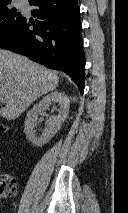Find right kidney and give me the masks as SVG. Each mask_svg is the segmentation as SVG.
Listing matches in <instances>:
<instances>
[{"instance_id":"obj_1","label":"right kidney","mask_w":128,"mask_h":213,"mask_svg":"<svg viewBox=\"0 0 128 213\" xmlns=\"http://www.w3.org/2000/svg\"><path fill=\"white\" fill-rule=\"evenodd\" d=\"M51 103H58L59 113L57 116H51L47 120L46 127L42 134L37 136L35 128L37 126L38 114L46 110ZM69 105L70 100L63 92L53 91L43 97L26 115L24 123L26 138L37 147L46 144L60 130L68 116Z\"/></svg>"}]
</instances>
